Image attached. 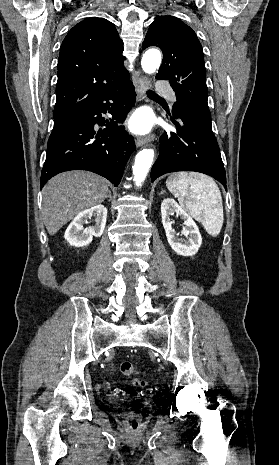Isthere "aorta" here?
I'll return each mask as SVG.
<instances>
[{
  "instance_id": "obj_1",
  "label": "aorta",
  "mask_w": 279,
  "mask_h": 465,
  "mask_svg": "<svg viewBox=\"0 0 279 465\" xmlns=\"http://www.w3.org/2000/svg\"><path fill=\"white\" fill-rule=\"evenodd\" d=\"M161 64V54L156 49H151L145 52L141 60V66L145 73L152 74L156 72ZM154 158L153 149H143L135 157L133 165L134 181L137 186L145 180L147 173L152 165Z\"/></svg>"
}]
</instances>
